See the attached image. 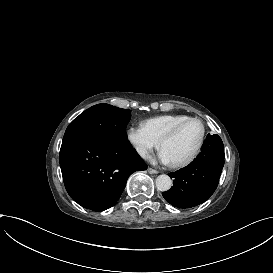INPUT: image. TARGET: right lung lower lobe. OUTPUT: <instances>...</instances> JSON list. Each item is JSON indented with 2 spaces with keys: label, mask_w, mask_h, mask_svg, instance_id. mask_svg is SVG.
I'll use <instances>...</instances> for the list:
<instances>
[{
  "label": "right lung lower lobe",
  "mask_w": 273,
  "mask_h": 273,
  "mask_svg": "<svg viewBox=\"0 0 273 273\" xmlns=\"http://www.w3.org/2000/svg\"><path fill=\"white\" fill-rule=\"evenodd\" d=\"M59 162L70 197L92 211L112 207L128 177L135 171L147 169L131 145L91 138L62 142Z\"/></svg>",
  "instance_id": "1"
}]
</instances>
